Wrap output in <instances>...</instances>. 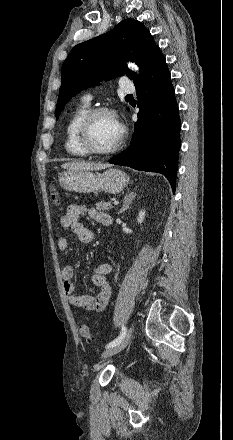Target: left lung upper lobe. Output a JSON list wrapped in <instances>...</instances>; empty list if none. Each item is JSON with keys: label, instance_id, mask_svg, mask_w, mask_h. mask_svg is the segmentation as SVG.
<instances>
[{"label": "left lung upper lobe", "instance_id": "obj_1", "mask_svg": "<svg viewBox=\"0 0 233 440\" xmlns=\"http://www.w3.org/2000/svg\"><path fill=\"white\" fill-rule=\"evenodd\" d=\"M160 52L150 32L142 23L126 19L111 31L76 45L63 63L62 84L59 91L55 116L65 104L82 89L97 82L124 75L126 60L140 67V74L127 71L136 82L147 72L152 60Z\"/></svg>", "mask_w": 233, "mask_h": 440}]
</instances>
